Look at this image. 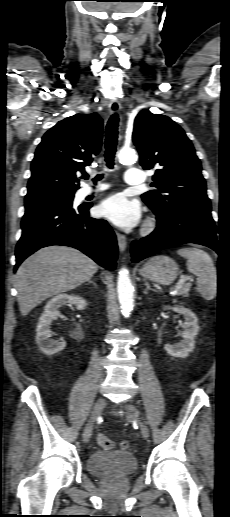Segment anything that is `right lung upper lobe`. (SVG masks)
I'll use <instances>...</instances> for the list:
<instances>
[{"label": "right lung upper lobe", "mask_w": 230, "mask_h": 517, "mask_svg": "<svg viewBox=\"0 0 230 517\" xmlns=\"http://www.w3.org/2000/svg\"><path fill=\"white\" fill-rule=\"evenodd\" d=\"M103 120L98 114H75L59 121L42 137L31 164L25 203L74 194L76 173L101 148Z\"/></svg>", "instance_id": "right-lung-upper-lobe-1"}]
</instances>
